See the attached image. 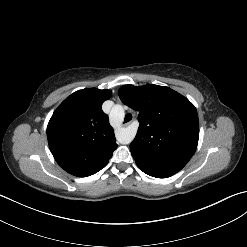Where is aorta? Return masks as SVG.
I'll list each match as a JSON object with an SVG mask.
<instances>
[{
    "label": "aorta",
    "mask_w": 247,
    "mask_h": 247,
    "mask_svg": "<svg viewBox=\"0 0 247 247\" xmlns=\"http://www.w3.org/2000/svg\"><path fill=\"white\" fill-rule=\"evenodd\" d=\"M124 108L121 105H114L111 109L110 116L113 121L122 122L124 120ZM137 128L135 126H128L119 128L117 132V140L121 144H129L136 135Z\"/></svg>",
    "instance_id": "1"
}]
</instances>
